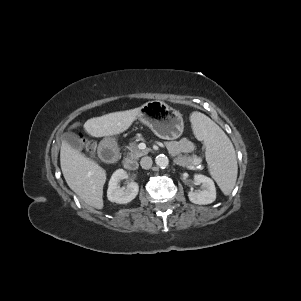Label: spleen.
I'll return each mask as SVG.
<instances>
[{
  "label": "spleen",
  "mask_w": 301,
  "mask_h": 301,
  "mask_svg": "<svg viewBox=\"0 0 301 301\" xmlns=\"http://www.w3.org/2000/svg\"><path fill=\"white\" fill-rule=\"evenodd\" d=\"M196 136L205 142L209 172L225 195L233 190L237 179V160L232 142L223 130L200 112L190 116Z\"/></svg>",
  "instance_id": "1"
}]
</instances>
